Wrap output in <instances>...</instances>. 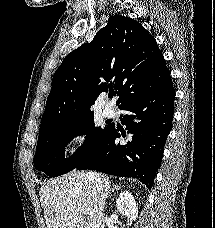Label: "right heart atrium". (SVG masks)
Returning a JSON list of instances; mask_svg holds the SVG:
<instances>
[{"label":"right heart atrium","mask_w":215,"mask_h":228,"mask_svg":"<svg viewBox=\"0 0 215 228\" xmlns=\"http://www.w3.org/2000/svg\"><path fill=\"white\" fill-rule=\"evenodd\" d=\"M91 130L88 127H76L71 131V153L80 154L90 143Z\"/></svg>","instance_id":"1"}]
</instances>
